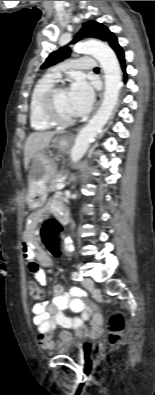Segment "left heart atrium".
I'll return each mask as SVG.
<instances>
[{"label":"left heart atrium","instance_id":"39dd6f15","mask_svg":"<svg viewBox=\"0 0 155 395\" xmlns=\"http://www.w3.org/2000/svg\"><path fill=\"white\" fill-rule=\"evenodd\" d=\"M68 100L73 116H83L89 112L94 100V92L84 77H77L68 90Z\"/></svg>","mask_w":155,"mask_h":395}]
</instances>
